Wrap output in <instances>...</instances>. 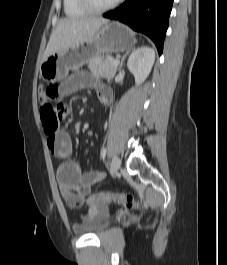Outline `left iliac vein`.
I'll list each match as a JSON object with an SVG mask.
<instances>
[{
	"mask_svg": "<svg viewBox=\"0 0 227 265\" xmlns=\"http://www.w3.org/2000/svg\"><path fill=\"white\" fill-rule=\"evenodd\" d=\"M121 166V160L117 155L113 156L112 162H111V167H110V173L112 176L117 174L119 168Z\"/></svg>",
	"mask_w": 227,
	"mask_h": 265,
	"instance_id": "4c4485c4",
	"label": "left iliac vein"
}]
</instances>
